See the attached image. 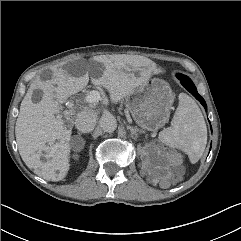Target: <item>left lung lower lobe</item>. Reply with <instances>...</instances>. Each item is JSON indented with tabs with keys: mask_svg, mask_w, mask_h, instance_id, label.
Segmentation results:
<instances>
[{
	"mask_svg": "<svg viewBox=\"0 0 241 241\" xmlns=\"http://www.w3.org/2000/svg\"><path fill=\"white\" fill-rule=\"evenodd\" d=\"M177 77L181 80L182 85L206 108V103L203 97L199 95L191 79L182 74H177Z\"/></svg>",
	"mask_w": 241,
	"mask_h": 241,
	"instance_id": "obj_1",
	"label": "left lung lower lobe"
}]
</instances>
